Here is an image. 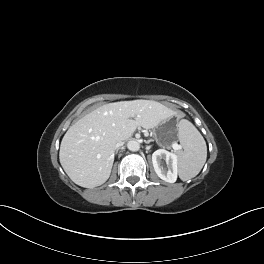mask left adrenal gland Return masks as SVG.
<instances>
[{
    "mask_svg": "<svg viewBox=\"0 0 264 264\" xmlns=\"http://www.w3.org/2000/svg\"><path fill=\"white\" fill-rule=\"evenodd\" d=\"M150 141H152V140H149V141H147L146 143H147V144H149V143H150Z\"/></svg>",
    "mask_w": 264,
    "mask_h": 264,
    "instance_id": "obj_1",
    "label": "left adrenal gland"
}]
</instances>
